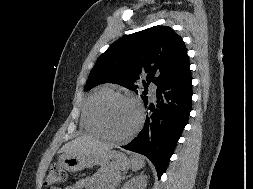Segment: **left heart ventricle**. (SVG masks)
Returning <instances> with one entry per match:
<instances>
[{"label": "left heart ventricle", "instance_id": "obj_1", "mask_svg": "<svg viewBox=\"0 0 253 189\" xmlns=\"http://www.w3.org/2000/svg\"><path fill=\"white\" fill-rule=\"evenodd\" d=\"M102 117L109 132L115 136L128 134L137 122L135 108L118 99L110 100L103 106Z\"/></svg>", "mask_w": 253, "mask_h": 189}]
</instances>
